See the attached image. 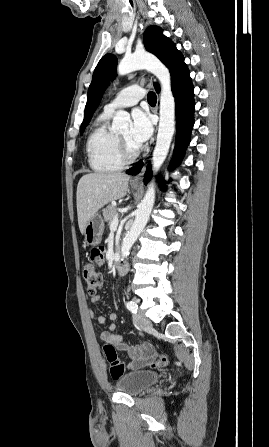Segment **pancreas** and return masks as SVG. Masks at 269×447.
<instances>
[{
	"instance_id": "1",
	"label": "pancreas",
	"mask_w": 269,
	"mask_h": 447,
	"mask_svg": "<svg viewBox=\"0 0 269 447\" xmlns=\"http://www.w3.org/2000/svg\"><path fill=\"white\" fill-rule=\"evenodd\" d=\"M115 214H117V210L115 206H112V204H109L105 210H103V216L105 222H107L108 225L112 224Z\"/></svg>"
}]
</instances>
